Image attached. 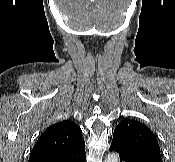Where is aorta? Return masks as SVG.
Listing matches in <instances>:
<instances>
[{
  "label": "aorta",
  "instance_id": "762f6f07",
  "mask_svg": "<svg viewBox=\"0 0 175 162\" xmlns=\"http://www.w3.org/2000/svg\"><path fill=\"white\" fill-rule=\"evenodd\" d=\"M104 162H119V156L117 153H109Z\"/></svg>",
  "mask_w": 175,
  "mask_h": 162
}]
</instances>
